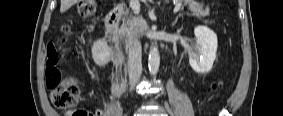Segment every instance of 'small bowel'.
<instances>
[{"label":"small bowel","instance_id":"1","mask_svg":"<svg viewBox=\"0 0 283 116\" xmlns=\"http://www.w3.org/2000/svg\"><path fill=\"white\" fill-rule=\"evenodd\" d=\"M58 62V54L56 53V49L53 45H50L47 50V58H46V75L54 77L59 74V71L55 69V65ZM73 112H68L67 115H72ZM104 111L102 109H96L91 112L90 116H103ZM73 116V115H72Z\"/></svg>","mask_w":283,"mask_h":116}]
</instances>
